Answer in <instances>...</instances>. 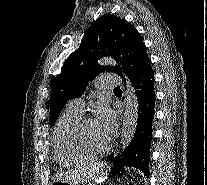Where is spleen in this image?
Masks as SVG:
<instances>
[{
  "mask_svg": "<svg viewBox=\"0 0 207 185\" xmlns=\"http://www.w3.org/2000/svg\"><path fill=\"white\" fill-rule=\"evenodd\" d=\"M129 171H138V166H129Z\"/></svg>",
  "mask_w": 207,
  "mask_h": 185,
  "instance_id": "1",
  "label": "spleen"
}]
</instances>
